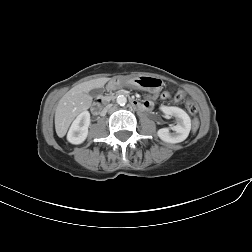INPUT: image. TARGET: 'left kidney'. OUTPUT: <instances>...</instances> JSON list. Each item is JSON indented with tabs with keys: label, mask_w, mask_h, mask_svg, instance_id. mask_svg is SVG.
Listing matches in <instances>:
<instances>
[{
	"label": "left kidney",
	"mask_w": 252,
	"mask_h": 252,
	"mask_svg": "<svg viewBox=\"0 0 252 252\" xmlns=\"http://www.w3.org/2000/svg\"><path fill=\"white\" fill-rule=\"evenodd\" d=\"M160 110L166 116L176 117L177 125L172 127L174 133H170L168 128L159 129L157 132L159 138L167 143H180L184 141L191 130V119L189 115L178 107L161 106Z\"/></svg>",
	"instance_id": "left-kidney-1"
}]
</instances>
